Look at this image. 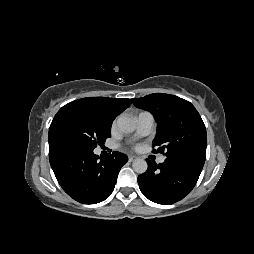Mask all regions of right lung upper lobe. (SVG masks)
Listing matches in <instances>:
<instances>
[{"label": "right lung upper lobe", "instance_id": "obj_1", "mask_svg": "<svg viewBox=\"0 0 254 254\" xmlns=\"http://www.w3.org/2000/svg\"><path fill=\"white\" fill-rule=\"evenodd\" d=\"M131 104V100L127 98H104V97H91L82 98L72 101L60 110L70 106L84 105L97 109L109 121H113L121 112H123Z\"/></svg>", "mask_w": 254, "mask_h": 254}]
</instances>
